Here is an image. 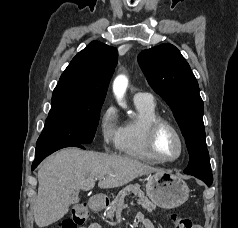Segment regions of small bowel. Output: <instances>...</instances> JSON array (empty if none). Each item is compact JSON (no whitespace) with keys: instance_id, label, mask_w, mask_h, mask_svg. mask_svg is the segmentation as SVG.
I'll return each mask as SVG.
<instances>
[{"instance_id":"1","label":"small bowel","mask_w":238,"mask_h":228,"mask_svg":"<svg viewBox=\"0 0 238 228\" xmlns=\"http://www.w3.org/2000/svg\"><path fill=\"white\" fill-rule=\"evenodd\" d=\"M137 219L139 222L142 223V225L144 226V228H155L154 224L151 222V220H149L148 218H146L144 216V214L142 213H138L137 214ZM85 228H101L100 225L98 223H91L89 224L87 227Z\"/></svg>"}]
</instances>
